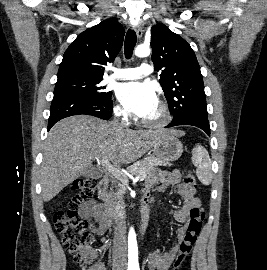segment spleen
<instances>
[{"label": "spleen", "instance_id": "3e777b00", "mask_svg": "<svg viewBox=\"0 0 267 270\" xmlns=\"http://www.w3.org/2000/svg\"><path fill=\"white\" fill-rule=\"evenodd\" d=\"M192 162L196 166V175L200 182L204 185H209L213 178L212 163L207 150L203 146L197 145L194 148Z\"/></svg>", "mask_w": 267, "mask_h": 270}]
</instances>
